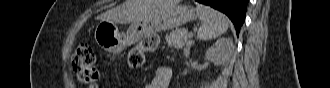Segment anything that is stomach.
<instances>
[{"label": "stomach", "instance_id": "1", "mask_svg": "<svg viewBox=\"0 0 330 88\" xmlns=\"http://www.w3.org/2000/svg\"><path fill=\"white\" fill-rule=\"evenodd\" d=\"M196 10L178 2L160 7L146 19L133 23L126 33H121L115 23L101 21L95 29L96 43L113 53H121L127 47L138 43L149 34L172 30L197 18Z\"/></svg>", "mask_w": 330, "mask_h": 88}]
</instances>
